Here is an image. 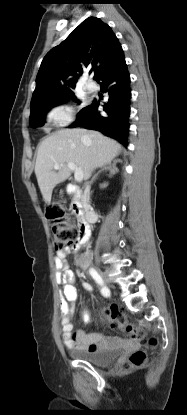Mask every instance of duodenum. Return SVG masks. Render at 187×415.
<instances>
[{
  "label": "duodenum",
  "instance_id": "obj_1",
  "mask_svg": "<svg viewBox=\"0 0 187 415\" xmlns=\"http://www.w3.org/2000/svg\"><path fill=\"white\" fill-rule=\"evenodd\" d=\"M67 193L71 196L70 206L72 211L80 218L79 229L81 232V241H86L90 236V223L95 220V213L85 207L83 193L77 186H69Z\"/></svg>",
  "mask_w": 187,
  "mask_h": 415
}]
</instances>
